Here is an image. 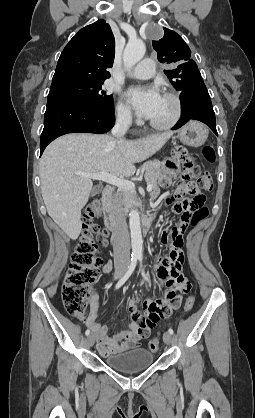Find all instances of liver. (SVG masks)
<instances>
[{
    "instance_id": "1",
    "label": "liver",
    "mask_w": 255,
    "mask_h": 418,
    "mask_svg": "<svg viewBox=\"0 0 255 418\" xmlns=\"http://www.w3.org/2000/svg\"><path fill=\"white\" fill-rule=\"evenodd\" d=\"M173 132L125 140L110 135L73 133L59 137L40 159L42 197L49 216L73 240L81 232V210L92 191L90 178L78 172H107L130 177L135 163L159 151Z\"/></svg>"
}]
</instances>
